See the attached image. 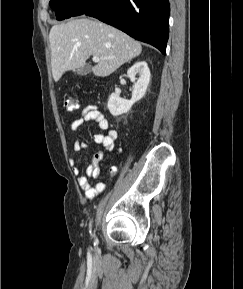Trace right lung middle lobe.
I'll list each match as a JSON object with an SVG mask.
<instances>
[{"instance_id":"1","label":"right lung middle lobe","mask_w":243,"mask_h":289,"mask_svg":"<svg viewBox=\"0 0 243 289\" xmlns=\"http://www.w3.org/2000/svg\"><path fill=\"white\" fill-rule=\"evenodd\" d=\"M87 0H50V6L56 12L58 20L70 18Z\"/></svg>"}]
</instances>
